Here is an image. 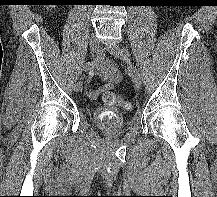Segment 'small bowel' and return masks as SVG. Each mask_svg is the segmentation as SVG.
<instances>
[{"mask_svg":"<svg viewBox=\"0 0 217 197\" xmlns=\"http://www.w3.org/2000/svg\"><path fill=\"white\" fill-rule=\"evenodd\" d=\"M97 64V71L103 83L88 90L87 95L90 99H96L103 92L112 89L122 77L117 65L111 59H104L101 55L97 59Z\"/></svg>","mask_w":217,"mask_h":197,"instance_id":"1","label":"small bowel"}]
</instances>
